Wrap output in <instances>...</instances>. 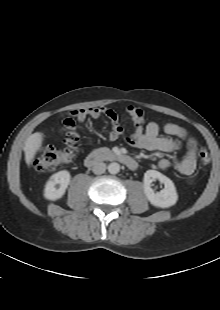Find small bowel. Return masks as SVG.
Instances as JSON below:
<instances>
[{"label": "small bowel", "mask_w": 220, "mask_h": 310, "mask_svg": "<svg viewBox=\"0 0 220 310\" xmlns=\"http://www.w3.org/2000/svg\"><path fill=\"white\" fill-rule=\"evenodd\" d=\"M128 113L135 123V128L129 135L124 134V130L120 125L118 116L108 108H82L74 110L72 115L80 124H83L88 118L105 116L108 118L111 125L108 133V139L116 140L123 137L130 146L138 149L174 152L178 150L183 143H187V152L184 158L175 165V168L182 175L192 178L197 164V152L196 144L190 139L187 130L177 124L167 123L164 125L163 129L168 137H161L160 126L156 122H149L145 127L143 126L146 117L140 108L130 106L128 107ZM158 165L160 169L167 170L172 166V163L169 159L162 158L159 160Z\"/></svg>", "instance_id": "c3829d8e"}]
</instances>
